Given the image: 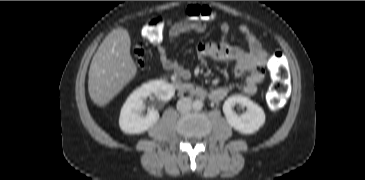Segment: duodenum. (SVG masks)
I'll use <instances>...</instances> for the list:
<instances>
[{
	"label": "duodenum",
	"mask_w": 365,
	"mask_h": 180,
	"mask_svg": "<svg viewBox=\"0 0 365 180\" xmlns=\"http://www.w3.org/2000/svg\"><path fill=\"white\" fill-rule=\"evenodd\" d=\"M173 86L179 93H192L196 96H201V97L205 96V93L199 87H194V86H191L189 84L179 82V81L174 82Z\"/></svg>",
	"instance_id": "duodenum-1"
}]
</instances>
